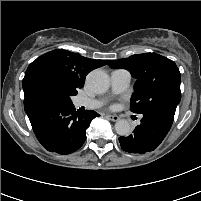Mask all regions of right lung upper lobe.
Instances as JSON below:
<instances>
[{
    "label": "right lung upper lobe",
    "mask_w": 201,
    "mask_h": 201,
    "mask_svg": "<svg viewBox=\"0 0 201 201\" xmlns=\"http://www.w3.org/2000/svg\"><path fill=\"white\" fill-rule=\"evenodd\" d=\"M106 64L104 60H94L63 49L45 53L33 61L27 68L22 81L24 96L27 100L39 95L36 89L38 81L44 76H53L68 88L77 92L84 86L86 75L93 69Z\"/></svg>",
    "instance_id": "cb5924a9"
}]
</instances>
